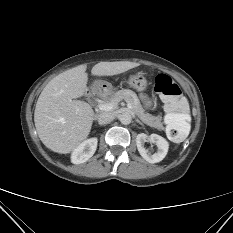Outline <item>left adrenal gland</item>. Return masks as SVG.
I'll return each instance as SVG.
<instances>
[{
    "mask_svg": "<svg viewBox=\"0 0 233 233\" xmlns=\"http://www.w3.org/2000/svg\"><path fill=\"white\" fill-rule=\"evenodd\" d=\"M136 122L139 123L140 125H143V123L139 121L138 119H136Z\"/></svg>",
    "mask_w": 233,
    "mask_h": 233,
    "instance_id": "1",
    "label": "left adrenal gland"
}]
</instances>
